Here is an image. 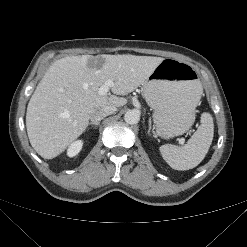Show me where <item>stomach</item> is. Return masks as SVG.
<instances>
[{
  "label": "stomach",
  "mask_w": 247,
  "mask_h": 247,
  "mask_svg": "<svg viewBox=\"0 0 247 247\" xmlns=\"http://www.w3.org/2000/svg\"><path fill=\"white\" fill-rule=\"evenodd\" d=\"M144 97L153 120L166 139L187 132L195 120L202 85L190 64L164 59L144 82Z\"/></svg>",
  "instance_id": "0dacf381"
}]
</instances>
